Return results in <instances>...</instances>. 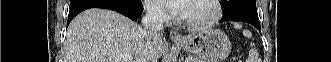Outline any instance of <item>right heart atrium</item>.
I'll return each instance as SVG.
<instances>
[{"label":"right heart atrium","instance_id":"obj_1","mask_svg":"<svg viewBox=\"0 0 331 62\" xmlns=\"http://www.w3.org/2000/svg\"><path fill=\"white\" fill-rule=\"evenodd\" d=\"M146 7L148 9L149 15L156 20H165L167 19L166 11L159 5L146 2Z\"/></svg>","mask_w":331,"mask_h":62}]
</instances>
